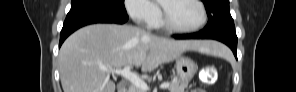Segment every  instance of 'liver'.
I'll use <instances>...</instances> for the list:
<instances>
[{
    "instance_id": "liver-1",
    "label": "liver",
    "mask_w": 296,
    "mask_h": 92,
    "mask_svg": "<svg viewBox=\"0 0 296 92\" xmlns=\"http://www.w3.org/2000/svg\"><path fill=\"white\" fill-rule=\"evenodd\" d=\"M214 41H175L131 25L93 24L70 35L59 52L64 92H115L111 72L104 69L141 67L151 72L186 51L213 54Z\"/></svg>"
}]
</instances>
